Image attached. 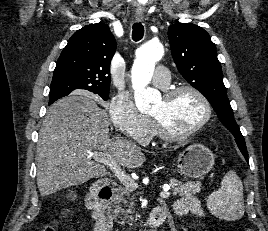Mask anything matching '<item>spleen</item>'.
Listing matches in <instances>:
<instances>
[{
    "label": "spleen",
    "mask_w": 268,
    "mask_h": 231,
    "mask_svg": "<svg viewBox=\"0 0 268 231\" xmlns=\"http://www.w3.org/2000/svg\"><path fill=\"white\" fill-rule=\"evenodd\" d=\"M210 212L227 221L239 220L244 215L243 185L234 171H229L221 182V187L207 200Z\"/></svg>",
    "instance_id": "obj_1"
}]
</instances>
